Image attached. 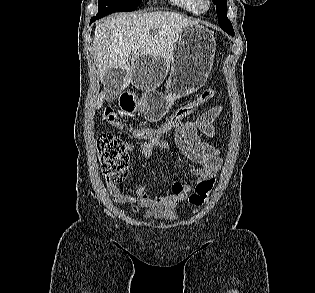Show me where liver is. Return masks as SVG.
<instances>
[{
	"label": "liver",
	"instance_id": "1",
	"mask_svg": "<svg viewBox=\"0 0 315 293\" xmlns=\"http://www.w3.org/2000/svg\"><path fill=\"white\" fill-rule=\"evenodd\" d=\"M198 22L175 12L120 13L97 23L94 32V51L99 78L110 69L125 71L124 83L115 94L123 91L133 80L129 57L162 58L171 62L174 45L183 31ZM105 93L98 96L96 107L103 105Z\"/></svg>",
	"mask_w": 315,
	"mask_h": 293
}]
</instances>
